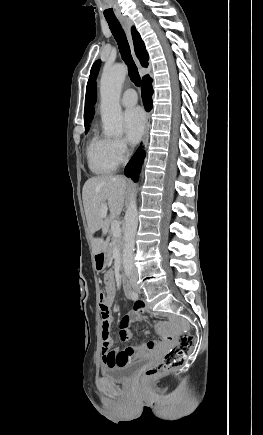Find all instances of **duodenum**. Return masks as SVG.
Instances as JSON below:
<instances>
[{"mask_svg": "<svg viewBox=\"0 0 263 435\" xmlns=\"http://www.w3.org/2000/svg\"><path fill=\"white\" fill-rule=\"evenodd\" d=\"M122 281H123V286H124L125 294L129 297V294L131 292V287H130L129 281L126 278V276H124V275L122 277Z\"/></svg>", "mask_w": 263, "mask_h": 435, "instance_id": "1", "label": "duodenum"}]
</instances>
